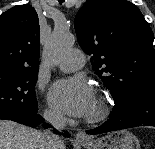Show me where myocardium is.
Here are the masks:
<instances>
[{"label":"myocardium","mask_w":155,"mask_h":149,"mask_svg":"<svg viewBox=\"0 0 155 149\" xmlns=\"http://www.w3.org/2000/svg\"><path fill=\"white\" fill-rule=\"evenodd\" d=\"M109 113V107L104 99L98 97L96 99V109L93 113L86 116V121L96 123L103 120Z\"/></svg>","instance_id":"obj_1"}]
</instances>
